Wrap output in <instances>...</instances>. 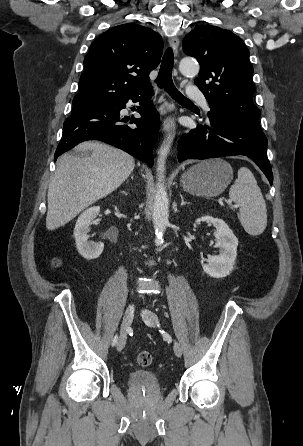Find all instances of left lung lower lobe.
I'll return each instance as SVG.
<instances>
[{
    "mask_svg": "<svg viewBox=\"0 0 303 446\" xmlns=\"http://www.w3.org/2000/svg\"><path fill=\"white\" fill-rule=\"evenodd\" d=\"M210 109V122H201L180 140L179 161L245 155L259 166L272 185L273 174L267 158V138L264 133L224 117L216 106L210 105Z\"/></svg>",
    "mask_w": 303,
    "mask_h": 446,
    "instance_id": "obj_1",
    "label": "left lung lower lobe"
}]
</instances>
